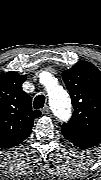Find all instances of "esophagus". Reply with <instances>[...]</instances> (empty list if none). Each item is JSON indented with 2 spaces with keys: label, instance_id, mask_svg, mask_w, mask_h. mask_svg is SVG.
Here are the masks:
<instances>
[{
  "label": "esophagus",
  "instance_id": "esophagus-1",
  "mask_svg": "<svg viewBox=\"0 0 101 180\" xmlns=\"http://www.w3.org/2000/svg\"><path fill=\"white\" fill-rule=\"evenodd\" d=\"M50 113V109L48 106H45L43 109H42V114L44 115H48Z\"/></svg>",
  "mask_w": 101,
  "mask_h": 180
}]
</instances>
